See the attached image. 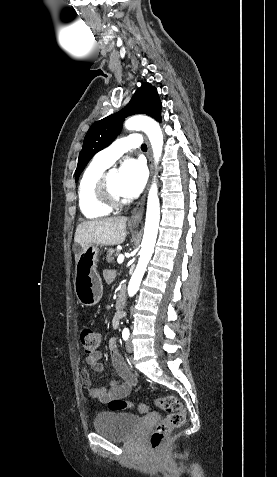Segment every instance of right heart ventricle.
Returning <instances> with one entry per match:
<instances>
[{
  "label": "right heart ventricle",
  "instance_id": "right-heart-ventricle-1",
  "mask_svg": "<svg viewBox=\"0 0 277 477\" xmlns=\"http://www.w3.org/2000/svg\"><path fill=\"white\" fill-rule=\"evenodd\" d=\"M105 166L95 159L85 169L78 186V202L82 214L88 219L105 217L111 209L101 205L94 196V186L98 178L106 171Z\"/></svg>",
  "mask_w": 277,
  "mask_h": 477
}]
</instances>
